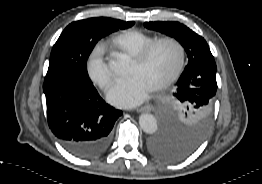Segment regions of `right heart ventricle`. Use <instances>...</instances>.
<instances>
[{"label": "right heart ventricle", "instance_id": "obj_1", "mask_svg": "<svg viewBox=\"0 0 262 184\" xmlns=\"http://www.w3.org/2000/svg\"><path fill=\"white\" fill-rule=\"evenodd\" d=\"M156 39H158L156 36L130 29L116 35L112 39L111 44L117 55H125L133 58L144 47Z\"/></svg>", "mask_w": 262, "mask_h": 184}]
</instances>
